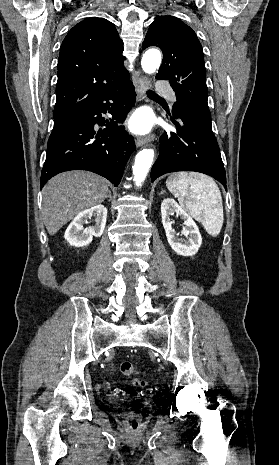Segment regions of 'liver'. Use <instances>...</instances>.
<instances>
[{
  "label": "liver",
  "instance_id": "obj_1",
  "mask_svg": "<svg viewBox=\"0 0 279 465\" xmlns=\"http://www.w3.org/2000/svg\"><path fill=\"white\" fill-rule=\"evenodd\" d=\"M42 192L41 213L52 236L80 212L101 204L109 189L105 178L92 172L74 170L51 178Z\"/></svg>",
  "mask_w": 279,
  "mask_h": 465
}]
</instances>
